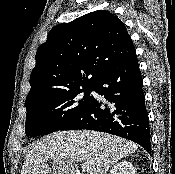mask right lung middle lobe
Listing matches in <instances>:
<instances>
[{
    "mask_svg": "<svg viewBox=\"0 0 175 174\" xmlns=\"http://www.w3.org/2000/svg\"><path fill=\"white\" fill-rule=\"evenodd\" d=\"M93 86L59 92L27 105L26 135L34 137L62 130L87 108Z\"/></svg>",
    "mask_w": 175,
    "mask_h": 174,
    "instance_id": "dd1d6c3e",
    "label": "right lung middle lobe"
}]
</instances>
